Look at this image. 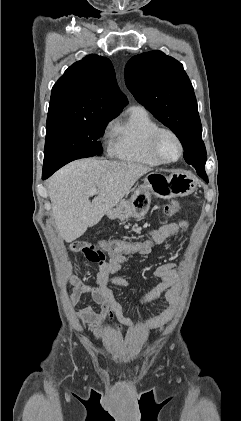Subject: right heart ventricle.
Listing matches in <instances>:
<instances>
[{"label":"right heart ventricle","mask_w":241,"mask_h":421,"mask_svg":"<svg viewBox=\"0 0 241 421\" xmlns=\"http://www.w3.org/2000/svg\"><path fill=\"white\" fill-rule=\"evenodd\" d=\"M159 124L140 106L131 107L127 117L116 123L110 152L118 159L158 166L161 162L151 150V138Z\"/></svg>","instance_id":"1"}]
</instances>
